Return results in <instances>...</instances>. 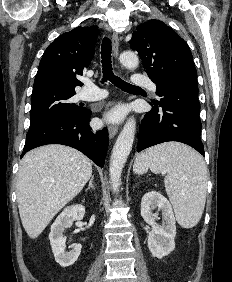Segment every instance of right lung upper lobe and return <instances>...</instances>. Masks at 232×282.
<instances>
[{"label": "right lung upper lobe", "mask_w": 232, "mask_h": 282, "mask_svg": "<svg viewBox=\"0 0 232 282\" xmlns=\"http://www.w3.org/2000/svg\"><path fill=\"white\" fill-rule=\"evenodd\" d=\"M97 27H77L64 33L45 50L36 74L33 92L48 89L75 91L82 86V75L93 59Z\"/></svg>", "instance_id": "cb5924a9"}]
</instances>
